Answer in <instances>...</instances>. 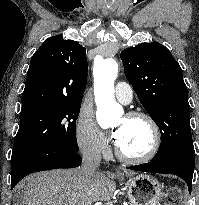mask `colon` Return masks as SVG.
Segmentation results:
<instances>
[{
	"mask_svg": "<svg viewBox=\"0 0 199 205\" xmlns=\"http://www.w3.org/2000/svg\"><path fill=\"white\" fill-rule=\"evenodd\" d=\"M181 191L178 187H172L163 198L161 205H178Z\"/></svg>",
	"mask_w": 199,
	"mask_h": 205,
	"instance_id": "5ec220e1",
	"label": "colon"
}]
</instances>
